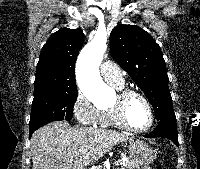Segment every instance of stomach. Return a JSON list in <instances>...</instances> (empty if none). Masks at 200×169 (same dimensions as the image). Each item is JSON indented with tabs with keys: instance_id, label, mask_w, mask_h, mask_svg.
I'll list each match as a JSON object with an SVG mask.
<instances>
[{
	"instance_id": "stomach-1",
	"label": "stomach",
	"mask_w": 200,
	"mask_h": 169,
	"mask_svg": "<svg viewBox=\"0 0 200 169\" xmlns=\"http://www.w3.org/2000/svg\"><path fill=\"white\" fill-rule=\"evenodd\" d=\"M129 156L137 166H147L155 159L153 149L144 141L131 140L127 144Z\"/></svg>"
}]
</instances>
